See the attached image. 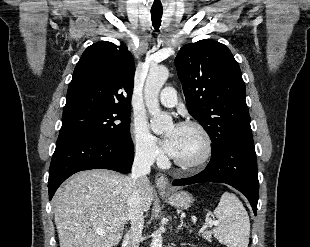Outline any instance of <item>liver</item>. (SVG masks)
<instances>
[{
  "label": "liver",
  "mask_w": 310,
  "mask_h": 247,
  "mask_svg": "<svg viewBox=\"0 0 310 247\" xmlns=\"http://www.w3.org/2000/svg\"><path fill=\"white\" fill-rule=\"evenodd\" d=\"M128 194V177L122 174L95 169L73 175L52 200L60 247L116 246L127 220ZM141 198L148 211L153 200L149 180Z\"/></svg>",
  "instance_id": "6515ba94"
}]
</instances>
